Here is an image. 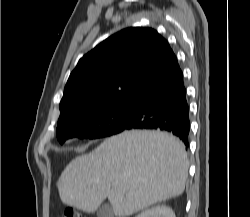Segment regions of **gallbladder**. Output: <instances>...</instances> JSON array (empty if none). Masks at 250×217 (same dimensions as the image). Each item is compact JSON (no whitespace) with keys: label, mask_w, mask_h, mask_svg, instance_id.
Masks as SVG:
<instances>
[{"label":"gallbladder","mask_w":250,"mask_h":217,"mask_svg":"<svg viewBox=\"0 0 250 217\" xmlns=\"http://www.w3.org/2000/svg\"><path fill=\"white\" fill-rule=\"evenodd\" d=\"M98 217H114L113 210L109 204H104L97 210Z\"/></svg>","instance_id":"1"}]
</instances>
